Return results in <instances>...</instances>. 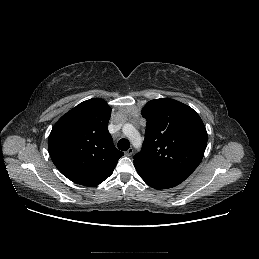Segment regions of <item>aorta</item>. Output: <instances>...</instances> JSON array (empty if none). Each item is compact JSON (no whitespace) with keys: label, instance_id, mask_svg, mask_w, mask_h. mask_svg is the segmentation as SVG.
I'll return each mask as SVG.
<instances>
[{"label":"aorta","instance_id":"1","mask_svg":"<svg viewBox=\"0 0 259 259\" xmlns=\"http://www.w3.org/2000/svg\"><path fill=\"white\" fill-rule=\"evenodd\" d=\"M123 133L130 139L135 147H140L142 144V138L139 132L131 124H125L123 126Z\"/></svg>","mask_w":259,"mask_h":259}]
</instances>
